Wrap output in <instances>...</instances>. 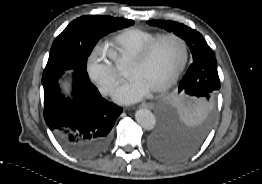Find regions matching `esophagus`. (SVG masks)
Segmentation results:
<instances>
[{"label": "esophagus", "instance_id": "34e87169", "mask_svg": "<svg viewBox=\"0 0 262 184\" xmlns=\"http://www.w3.org/2000/svg\"><path fill=\"white\" fill-rule=\"evenodd\" d=\"M142 108H148V109H153L155 107L154 103L152 102H144L140 105Z\"/></svg>", "mask_w": 262, "mask_h": 184}]
</instances>
